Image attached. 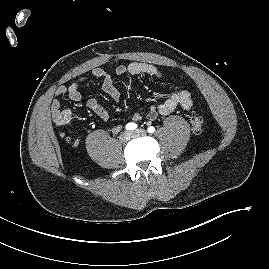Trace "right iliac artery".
Returning <instances> with one entry per match:
<instances>
[{
    "label": "right iliac artery",
    "mask_w": 269,
    "mask_h": 269,
    "mask_svg": "<svg viewBox=\"0 0 269 269\" xmlns=\"http://www.w3.org/2000/svg\"><path fill=\"white\" fill-rule=\"evenodd\" d=\"M137 128V124L130 122L126 125L127 130H135Z\"/></svg>",
    "instance_id": "82829eb1"
}]
</instances>
